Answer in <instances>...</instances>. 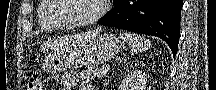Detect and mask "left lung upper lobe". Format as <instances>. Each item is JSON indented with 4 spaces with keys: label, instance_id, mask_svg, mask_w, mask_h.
<instances>
[{
    "label": "left lung upper lobe",
    "instance_id": "left-lung-upper-lobe-1",
    "mask_svg": "<svg viewBox=\"0 0 216 90\" xmlns=\"http://www.w3.org/2000/svg\"><path fill=\"white\" fill-rule=\"evenodd\" d=\"M117 2V0H114V3H116Z\"/></svg>",
    "mask_w": 216,
    "mask_h": 90
}]
</instances>
